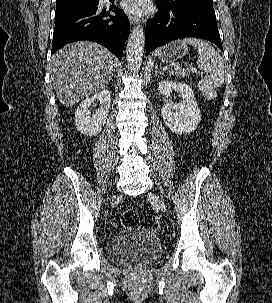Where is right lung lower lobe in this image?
<instances>
[{
  "instance_id": "obj_1",
  "label": "right lung lower lobe",
  "mask_w": 272,
  "mask_h": 303,
  "mask_svg": "<svg viewBox=\"0 0 272 303\" xmlns=\"http://www.w3.org/2000/svg\"><path fill=\"white\" fill-rule=\"evenodd\" d=\"M109 10L116 15L111 16L106 8L97 6L55 17L51 54L70 42L89 40L105 46L121 60L130 23L121 9Z\"/></svg>"
}]
</instances>
